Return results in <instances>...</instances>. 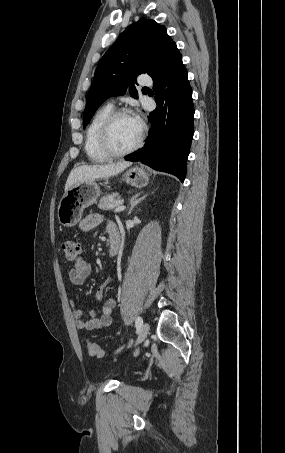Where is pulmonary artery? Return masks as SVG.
I'll return each mask as SVG.
<instances>
[{"instance_id":"e3ab8cb5","label":"pulmonary artery","mask_w":285,"mask_h":453,"mask_svg":"<svg viewBox=\"0 0 285 453\" xmlns=\"http://www.w3.org/2000/svg\"><path fill=\"white\" fill-rule=\"evenodd\" d=\"M138 81L141 85H150L151 84V79L146 75L139 76ZM109 104L112 105V101Z\"/></svg>"}]
</instances>
